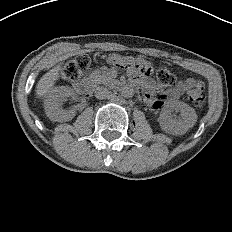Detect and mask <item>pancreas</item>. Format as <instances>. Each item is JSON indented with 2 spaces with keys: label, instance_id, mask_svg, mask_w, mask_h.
I'll return each mask as SVG.
<instances>
[{
  "label": "pancreas",
  "instance_id": "obj_1",
  "mask_svg": "<svg viewBox=\"0 0 232 232\" xmlns=\"http://www.w3.org/2000/svg\"><path fill=\"white\" fill-rule=\"evenodd\" d=\"M105 75V74H104ZM103 80H108V78L106 76L103 77Z\"/></svg>",
  "mask_w": 232,
  "mask_h": 232
}]
</instances>
